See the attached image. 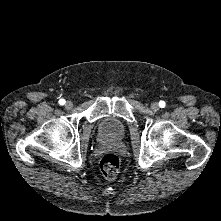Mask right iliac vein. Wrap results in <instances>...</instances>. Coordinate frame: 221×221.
Here are the masks:
<instances>
[{"label": "right iliac vein", "instance_id": "63e3f726", "mask_svg": "<svg viewBox=\"0 0 221 221\" xmlns=\"http://www.w3.org/2000/svg\"><path fill=\"white\" fill-rule=\"evenodd\" d=\"M72 107H73L72 101H67V102L65 103V108H66L67 110L72 109Z\"/></svg>", "mask_w": 221, "mask_h": 221}]
</instances>
